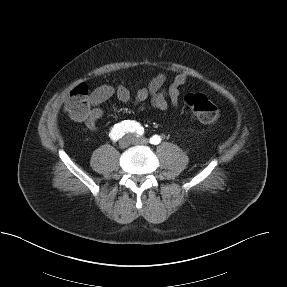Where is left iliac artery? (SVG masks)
I'll return each instance as SVG.
<instances>
[{"instance_id":"obj_1","label":"left iliac artery","mask_w":287,"mask_h":287,"mask_svg":"<svg viewBox=\"0 0 287 287\" xmlns=\"http://www.w3.org/2000/svg\"><path fill=\"white\" fill-rule=\"evenodd\" d=\"M138 128H136V133L138 134ZM150 143L151 144H154V145H157L161 142V137L159 135H153L151 138H150Z\"/></svg>"}]
</instances>
